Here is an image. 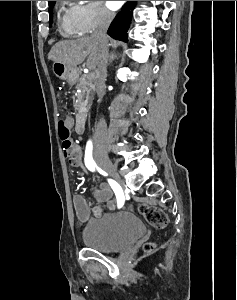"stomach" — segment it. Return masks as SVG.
<instances>
[{
  "label": "stomach",
  "instance_id": "stomach-1",
  "mask_svg": "<svg viewBox=\"0 0 237 300\" xmlns=\"http://www.w3.org/2000/svg\"><path fill=\"white\" fill-rule=\"evenodd\" d=\"M52 71L55 77L62 79V81H67L70 85H75L78 81L79 73L77 67H67V65H63V63L54 61Z\"/></svg>",
  "mask_w": 237,
  "mask_h": 300
}]
</instances>
